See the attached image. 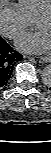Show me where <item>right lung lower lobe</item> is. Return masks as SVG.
<instances>
[{
	"instance_id": "obj_1",
	"label": "right lung lower lobe",
	"mask_w": 51,
	"mask_h": 153,
	"mask_svg": "<svg viewBox=\"0 0 51 153\" xmlns=\"http://www.w3.org/2000/svg\"><path fill=\"white\" fill-rule=\"evenodd\" d=\"M21 59L22 55L0 37V87L7 84L15 63Z\"/></svg>"
}]
</instances>
